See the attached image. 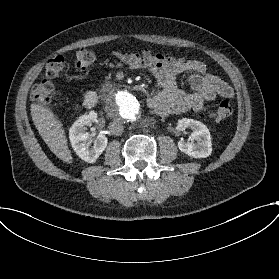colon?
<instances>
[{
	"mask_svg": "<svg viewBox=\"0 0 279 279\" xmlns=\"http://www.w3.org/2000/svg\"><path fill=\"white\" fill-rule=\"evenodd\" d=\"M95 60L93 52L86 48H81L75 53V65L78 69H86ZM65 58L62 55H56L48 60L44 67L45 79L43 82L33 88L32 98L37 103L47 104L51 101L55 93V85L51 79L57 77L64 69ZM232 107L226 100L219 101L214 107L213 117L217 121H223L230 117Z\"/></svg>",
	"mask_w": 279,
	"mask_h": 279,
	"instance_id": "colon-1",
	"label": "colon"
}]
</instances>
